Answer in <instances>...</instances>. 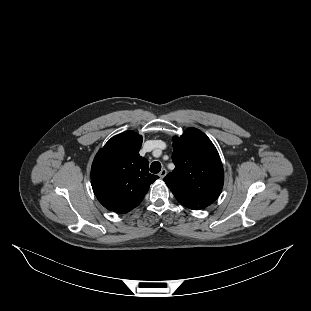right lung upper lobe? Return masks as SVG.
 Instances as JSON below:
<instances>
[{
    "label": "right lung upper lobe",
    "instance_id": "1",
    "mask_svg": "<svg viewBox=\"0 0 311 311\" xmlns=\"http://www.w3.org/2000/svg\"><path fill=\"white\" fill-rule=\"evenodd\" d=\"M142 136L126 131L112 137L97 153L91 168L95 196L108 210L126 213L143 200L159 177L148 172V161L139 155Z\"/></svg>",
    "mask_w": 311,
    "mask_h": 311
}]
</instances>
